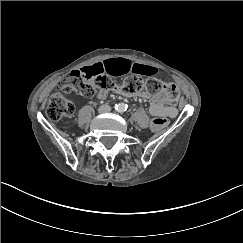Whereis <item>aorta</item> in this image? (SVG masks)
<instances>
[{"label":"aorta","instance_id":"obj_1","mask_svg":"<svg viewBox=\"0 0 243 243\" xmlns=\"http://www.w3.org/2000/svg\"><path fill=\"white\" fill-rule=\"evenodd\" d=\"M117 110H118L119 112H123V111H125V110H126V105H125V103H120V104L117 106Z\"/></svg>","mask_w":243,"mask_h":243}]
</instances>
